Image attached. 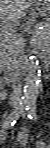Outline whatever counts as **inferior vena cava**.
<instances>
[{"mask_svg":"<svg viewBox=\"0 0 50 148\" xmlns=\"http://www.w3.org/2000/svg\"><path fill=\"white\" fill-rule=\"evenodd\" d=\"M20 96H21V87L20 86H15L13 88L11 98H12V100L17 101V100H19Z\"/></svg>","mask_w":50,"mask_h":148,"instance_id":"602c4592","label":"inferior vena cava"}]
</instances>
